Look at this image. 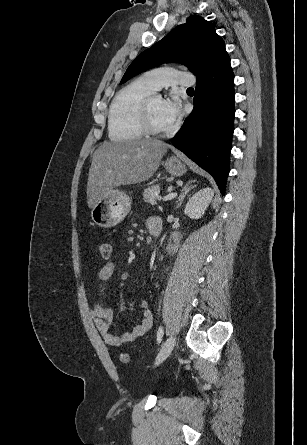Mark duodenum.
<instances>
[{"label":"duodenum","instance_id":"obj_1","mask_svg":"<svg viewBox=\"0 0 307 445\" xmlns=\"http://www.w3.org/2000/svg\"><path fill=\"white\" fill-rule=\"evenodd\" d=\"M150 233H151L152 237H157L160 234V232L158 230H153Z\"/></svg>","mask_w":307,"mask_h":445}]
</instances>
